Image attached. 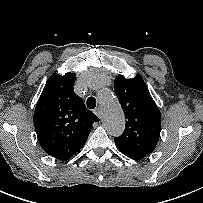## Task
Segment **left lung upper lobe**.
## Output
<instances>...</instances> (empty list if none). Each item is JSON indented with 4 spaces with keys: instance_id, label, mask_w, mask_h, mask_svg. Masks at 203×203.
<instances>
[{
    "instance_id": "1",
    "label": "left lung upper lobe",
    "mask_w": 203,
    "mask_h": 203,
    "mask_svg": "<svg viewBox=\"0 0 203 203\" xmlns=\"http://www.w3.org/2000/svg\"><path fill=\"white\" fill-rule=\"evenodd\" d=\"M114 91L127 119L123 134L114 139L115 144L145 157L154 151L160 137V111L140 76L131 79L117 76Z\"/></svg>"
}]
</instances>
